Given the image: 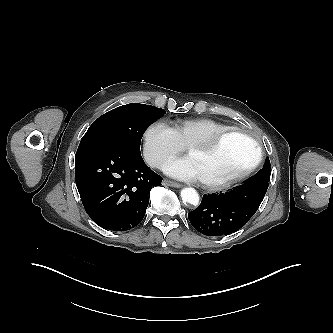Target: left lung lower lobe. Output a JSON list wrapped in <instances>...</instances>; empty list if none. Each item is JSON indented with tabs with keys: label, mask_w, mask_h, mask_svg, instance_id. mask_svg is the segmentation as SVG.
<instances>
[{
	"label": "left lung lower lobe",
	"mask_w": 333,
	"mask_h": 333,
	"mask_svg": "<svg viewBox=\"0 0 333 333\" xmlns=\"http://www.w3.org/2000/svg\"><path fill=\"white\" fill-rule=\"evenodd\" d=\"M268 182L244 183L227 193L203 196L188 213L192 226L206 236L228 235L244 226L258 210Z\"/></svg>",
	"instance_id": "obj_1"
}]
</instances>
